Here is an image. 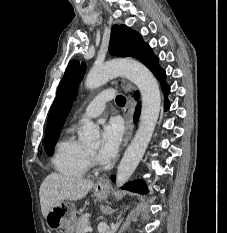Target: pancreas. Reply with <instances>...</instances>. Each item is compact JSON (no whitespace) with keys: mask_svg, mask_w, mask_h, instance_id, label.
<instances>
[{"mask_svg":"<svg viewBox=\"0 0 227 233\" xmlns=\"http://www.w3.org/2000/svg\"><path fill=\"white\" fill-rule=\"evenodd\" d=\"M90 224L89 217L86 215H81L76 221L75 233H86L85 228Z\"/></svg>","mask_w":227,"mask_h":233,"instance_id":"pancreas-1","label":"pancreas"}]
</instances>
